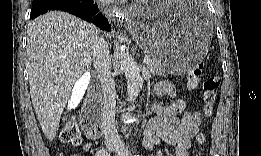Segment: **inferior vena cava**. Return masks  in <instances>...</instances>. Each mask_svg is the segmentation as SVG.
I'll return each instance as SVG.
<instances>
[{
  "mask_svg": "<svg viewBox=\"0 0 261 156\" xmlns=\"http://www.w3.org/2000/svg\"><path fill=\"white\" fill-rule=\"evenodd\" d=\"M93 65L98 72L103 92L102 126L107 145L119 144L120 138L115 127L116 90L111 73V58L107 42L96 37L93 43Z\"/></svg>",
  "mask_w": 261,
  "mask_h": 156,
  "instance_id": "1",
  "label": "inferior vena cava"
}]
</instances>
